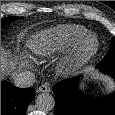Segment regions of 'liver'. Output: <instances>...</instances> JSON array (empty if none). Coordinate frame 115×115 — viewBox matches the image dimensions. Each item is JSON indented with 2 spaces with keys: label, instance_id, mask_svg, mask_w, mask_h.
<instances>
[{
  "label": "liver",
  "instance_id": "obj_1",
  "mask_svg": "<svg viewBox=\"0 0 115 115\" xmlns=\"http://www.w3.org/2000/svg\"><path fill=\"white\" fill-rule=\"evenodd\" d=\"M12 71V75L17 72V62L8 57L7 52L1 48V79Z\"/></svg>",
  "mask_w": 115,
  "mask_h": 115
}]
</instances>
